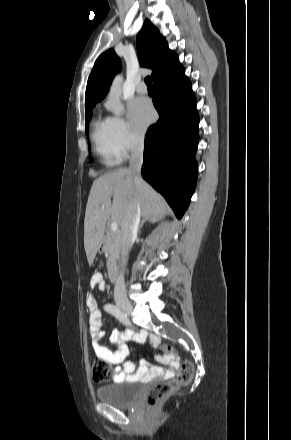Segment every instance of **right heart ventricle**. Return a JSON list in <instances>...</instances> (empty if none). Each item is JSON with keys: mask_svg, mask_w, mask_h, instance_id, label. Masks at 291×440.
Segmentation results:
<instances>
[{"mask_svg": "<svg viewBox=\"0 0 291 440\" xmlns=\"http://www.w3.org/2000/svg\"><path fill=\"white\" fill-rule=\"evenodd\" d=\"M92 141L94 152L102 164L111 167L119 163L121 156L113 146L107 117H98L93 121Z\"/></svg>", "mask_w": 291, "mask_h": 440, "instance_id": "obj_1", "label": "right heart ventricle"}]
</instances>
